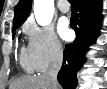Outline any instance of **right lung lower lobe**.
<instances>
[{
	"mask_svg": "<svg viewBox=\"0 0 107 89\" xmlns=\"http://www.w3.org/2000/svg\"><path fill=\"white\" fill-rule=\"evenodd\" d=\"M101 0H73L70 26L76 32V39L66 44L63 55V66L58 73V82L64 89H74L77 82V71L83 65L88 45L99 33L102 16ZM90 21V23H88ZM88 36V39H85Z\"/></svg>",
	"mask_w": 107,
	"mask_h": 89,
	"instance_id": "right-lung-lower-lobe-1",
	"label": "right lung lower lobe"
}]
</instances>
